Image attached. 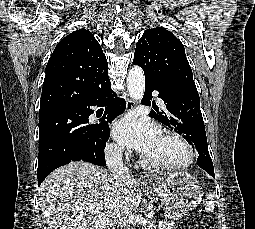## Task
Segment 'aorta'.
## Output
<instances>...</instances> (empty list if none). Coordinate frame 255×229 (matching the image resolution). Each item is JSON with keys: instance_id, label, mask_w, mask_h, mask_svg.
Masks as SVG:
<instances>
[{"instance_id": "1", "label": "aorta", "mask_w": 255, "mask_h": 229, "mask_svg": "<svg viewBox=\"0 0 255 229\" xmlns=\"http://www.w3.org/2000/svg\"><path fill=\"white\" fill-rule=\"evenodd\" d=\"M126 82L130 97L134 100H141L145 89V77L141 67L133 66L129 70Z\"/></svg>"}]
</instances>
